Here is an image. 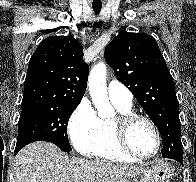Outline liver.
I'll list each match as a JSON object with an SVG mask.
<instances>
[{"mask_svg": "<svg viewBox=\"0 0 196 182\" xmlns=\"http://www.w3.org/2000/svg\"><path fill=\"white\" fill-rule=\"evenodd\" d=\"M14 166L15 182H125L138 170L69 157L54 144L42 141L22 148Z\"/></svg>", "mask_w": 196, "mask_h": 182, "instance_id": "1", "label": "liver"}]
</instances>
